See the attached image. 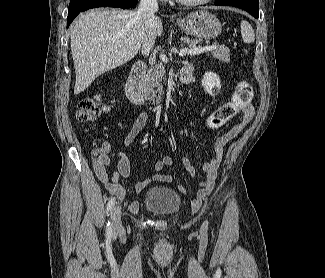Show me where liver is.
<instances>
[{
	"label": "liver",
	"instance_id": "1",
	"mask_svg": "<svg viewBox=\"0 0 325 278\" xmlns=\"http://www.w3.org/2000/svg\"><path fill=\"white\" fill-rule=\"evenodd\" d=\"M156 37L163 33L155 17ZM146 37V27L137 11L96 9L79 16L71 27V51L76 73L74 94L87 89L101 74L133 59Z\"/></svg>",
	"mask_w": 325,
	"mask_h": 278
}]
</instances>
